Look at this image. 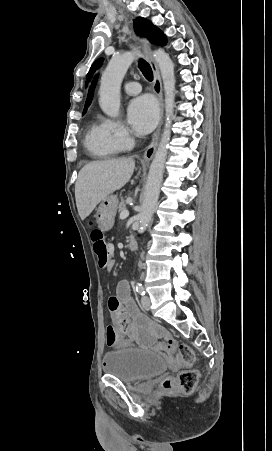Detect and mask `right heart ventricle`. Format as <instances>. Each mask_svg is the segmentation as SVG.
<instances>
[{
    "label": "right heart ventricle",
    "instance_id": "right-heart-ventricle-1",
    "mask_svg": "<svg viewBox=\"0 0 272 451\" xmlns=\"http://www.w3.org/2000/svg\"><path fill=\"white\" fill-rule=\"evenodd\" d=\"M88 149L98 157H109L116 153L115 142L104 124H94L86 139Z\"/></svg>",
    "mask_w": 272,
    "mask_h": 451
}]
</instances>
